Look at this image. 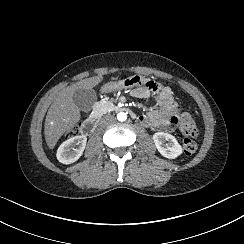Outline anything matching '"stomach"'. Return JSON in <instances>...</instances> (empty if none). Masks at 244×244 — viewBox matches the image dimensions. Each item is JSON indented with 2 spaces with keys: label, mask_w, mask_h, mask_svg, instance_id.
I'll use <instances>...</instances> for the list:
<instances>
[{
  "label": "stomach",
  "mask_w": 244,
  "mask_h": 244,
  "mask_svg": "<svg viewBox=\"0 0 244 244\" xmlns=\"http://www.w3.org/2000/svg\"><path fill=\"white\" fill-rule=\"evenodd\" d=\"M149 83H150V80L148 78H144L142 76L135 75V76L129 77L127 79H124L122 81L108 82L100 88V92L104 93V94H108V93L115 92V91H121V90L139 87L142 84L148 85Z\"/></svg>",
  "instance_id": "stomach-1"
}]
</instances>
